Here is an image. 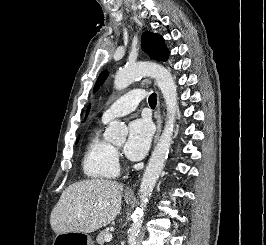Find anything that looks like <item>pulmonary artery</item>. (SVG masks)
<instances>
[{"mask_svg":"<svg viewBox=\"0 0 266 245\" xmlns=\"http://www.w3.org/2000/svg\"><path fill=\"white\" fill-rule=\"evenodd\" d=\"M137 101H143L141 91H129L127 95L120 96L119 100H112V105L102 113V121L107 122L115 117L123 116L134 111L138 106Z\"/></svg>","mask_w":266,"mask_h":245,"instance_id":"1","label":"pulmonary artery"}]
</instances>
